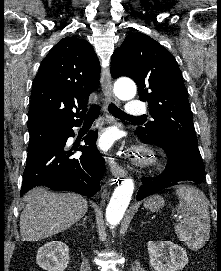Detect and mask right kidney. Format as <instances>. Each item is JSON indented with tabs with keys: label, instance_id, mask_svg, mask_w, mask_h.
Listing matches in <instances>:
<instances>
[{
	"label": "right kidney",
	"instance_id": "1",
	"mask_svg": "<svg viewBox=\"0 0 221 271\" xmlns=\"http://www.w3.org/2000/svg\"><path fill=\"white\" fill-rule=\"evenodd\" d=\"M69 259V247L64 241H46L36 255V263L46 271H64Z\"/></svg>",
	"mask_w": 221,
	"mask_h": 271
}]
</instances>
